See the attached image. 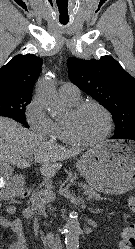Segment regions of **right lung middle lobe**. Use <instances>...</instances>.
Segmentation results:
<instances>
[{
    "label": "right lung middle lobe",
    "mask_w": 135,
    "mask_h": 249,
    "mask_svg": "<svg viewBox=\"0 0 135 249\" xmlns=\"http://www.w3.org/2000/svg\"><path fill=\"white\" fill-rule=\"evenodd\" d=\"M31 99V95L0 93V116L13 118L28 127L25 120V108Z\"/></svg>",
    "instance_id": "1"
}]
</instances>
